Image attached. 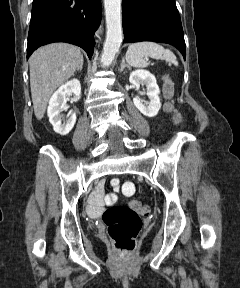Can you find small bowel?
<instances>
[{
    "label": "small bowel",
    "mask_w": 240,
    "mask_h": 288,
    "mask_svg": "<svg viewBox=\"0 0 240 288\" xmlns=\"http://www.w3.org/2000/svg\"><path fill=\"white\" fill-rule=\"evenodd\" d=\"M112 186L115 192L119 191L120 188H119V182L117 179L112 180ZM128 186L133 187L131 183L126 184L125 187H128ZM131 192H126V193L131 194ZM103 197H104L103 184H99L96 190L91 195L90 200H89L87 211L90 216L96 217L101 213L103 209V205H104Z\"/></svg>",
    "instance_id": "c3829d8e"
}]
</instances>
